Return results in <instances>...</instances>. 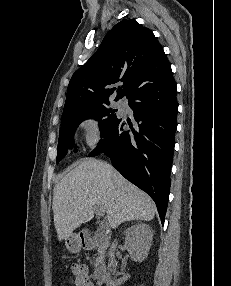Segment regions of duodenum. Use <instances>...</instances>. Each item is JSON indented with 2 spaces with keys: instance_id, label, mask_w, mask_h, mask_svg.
Here are the masks:
<instances>
[{
  "instance_id": "410a0bca",
  "label": "duodenum",
  "mask_w": 231,
  "mask_h": 286,
  "mask_svg": "<svg viewBox=\"0 0 231 286\" xmlns=\"http://www.w3.org/2000/svg\"><path fill=\"white\" fill-rule=\"evenodd\" d=\"M80 246L84 250L98 248L101 257L98 259L93 273V278L97 284H102L107 275V265L103 254L109 246V235L105 232H85L80 235Z\"/></svg>"
}]
</instances>
